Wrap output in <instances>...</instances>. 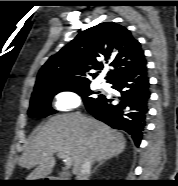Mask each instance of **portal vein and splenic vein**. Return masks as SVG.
<instances>
[{"mask_svg":"<svg viewBox=\"0 0 178 186\" xmlns=\"http://www.w3.org/2000/svg\"><path fill=\"white\" fill-rule=\"evenodd\" d=\"M57 156L61 159H63V162L65 163V167L67 169H69L72 165V160L70 157H68L67 155L65 154H62V153H58Z\"/></svg>","mask_w":178,"mask_h":186,"instance_id":"18ae733b","label":"portal vein and splenic vein"}]
</instances>
